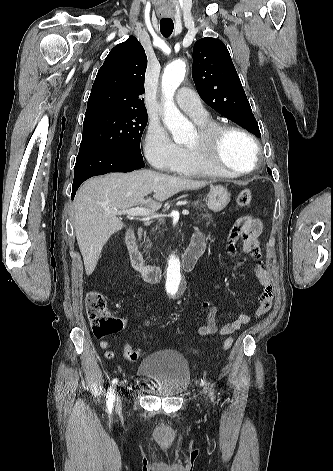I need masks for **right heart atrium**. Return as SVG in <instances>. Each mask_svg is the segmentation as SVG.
Instances as JSON below:
<instances>
[{"mask_svg":"<svg viewBox=\"0 0 333 471\" xmlns=\"http://www.w3.org/2000/svg\"><path fill=\"white\" fill-rule=\"evenodd\" d=\"M143 149L149 163L161 171H172L182 156V148L171 139L161 125L156 123L149 125Z\"/></svg>","mask_w":333,"mask_h":471,"instance_id":"obj_1","label":"right heart atrium"}]
</instances>
